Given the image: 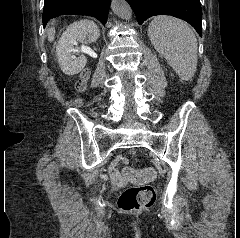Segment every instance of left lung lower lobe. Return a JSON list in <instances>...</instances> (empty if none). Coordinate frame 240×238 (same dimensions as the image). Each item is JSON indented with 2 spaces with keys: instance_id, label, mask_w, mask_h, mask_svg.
Wrapping results in <instances>:
<instances>
[{
  "instance_id": "1",
  "label": "left lung lower lobe",
  "mask_w": 240,
  "mask_h": 238,
  "mask_svg": "<svg viewBox=\"0 0 240 238\" xmlns=\"http://www.w3.org/2000/svg\"><path fill=\"white\" fill-rule=\"evenodd\" d=\"M137 21L142 24L155 15H170L190 23L202 36V9L200 0H126Z\"/></svg>"
}]
</instances>
